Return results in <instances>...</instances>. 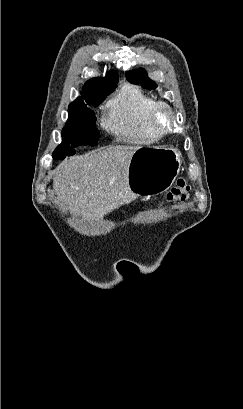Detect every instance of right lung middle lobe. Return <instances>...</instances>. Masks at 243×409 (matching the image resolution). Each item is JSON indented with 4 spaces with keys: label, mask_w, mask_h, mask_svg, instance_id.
Instances as JSON below:
<instances>
[{
    "label": "right lung middle lobe",
    "mask_w": 243,
    "mask_h": 409,
    "mask_svg": "<svg viewBox=\"0 0 243 409\" xmlns=\"http://www.w3.org/2000/svg\"><path fill=\"white\" fill-rule=\"evenodd\" d=\"M103 95L94 107L98 106L106 96ZM69 118L62 130V143L55 149L52 157L54 159H64L75 153V149L86 145H97L99 133L96 129V117L90 108L68 109Z\"/></svg>",
    "instance_id": "dd1d6c3e"
}]
</instances>
